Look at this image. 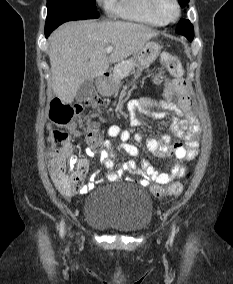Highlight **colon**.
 Wrapping results in <instances>:
<instances>
[{"mask_svg":"<svg viewBox=\"0 0 233 284\" xmlns=\"http://www.w3.org/2000/svg\"><path fill=\"white\" fill-rule=\"evenodd\" d=\"M161 61L173 77H182L183 66L177 56L169 52H163ZM161 79V75L156 77L157 82H160ZM103 104L104 100L98 96L89 98L85 103L86 106L91 108H98ZM82 108L81 105H70L60 99H53L50 103L49 117L58 129H54L49 135L48 162L53 172L54 184L65 195H73L80 191L86 174V170L82 165L65 163L71 151V143L69 134L64 129L80 114ZM86 140L92 147L99 148L102 141L101 130L95 125H91L88 128ZM183 188L182 182H174L167 188L159 185L152 186L150 191L155 197L161 198L164 196H179L183 192Z\"/></svg>","mask_w":233,"mask_h":284,"instance_id":"5ec220e1","label":"colon"}]
</instances>
